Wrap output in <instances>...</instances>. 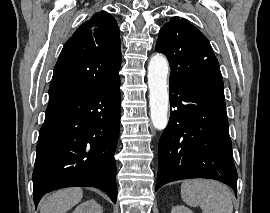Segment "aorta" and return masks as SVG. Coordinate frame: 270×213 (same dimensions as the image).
I'll return each instance as SVG.
<instances>
[{"instance_id":"aorta-1","label":"aorta","mask_w":270,"mask_h":213,"mask_svg":"<svg viewBox=\"0 0 270 213\" xmlns=\"http://www.w3.org/2000/svg\"><path fill=\"white\" fill-rule=\"evenodd\" d=\"M169 64L161 55H154L148 65V86L151 121L157 130H163L168 124L169 94L167 76Z\"/></svg>"}]
</instances>
